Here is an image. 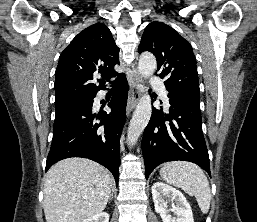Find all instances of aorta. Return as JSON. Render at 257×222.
Wrapping results in <instances>:
<instances>
[{
  "instance_id": "aorta-1",
  "label": "aorta",
  "mask_w": 257,
  "mask_h": 222,
  "mask_svg": "<svg viewBox=\"0 0 257 222\" xmlns=\"http://www.w3.org/2000/svg\"><path fill=\"white\" fill-rule=\"evenodd\" d=\"M157 63L153 54L142 53L139 58L138 71L142 77H150L156 70ZM152 113L151 98L147 92H145L140 98L135 112L130 121L127 140L129 144L134 145L145 127L147 126Z\"/></svg>"
}]
</instances>
